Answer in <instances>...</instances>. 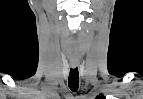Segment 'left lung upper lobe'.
I'll list each match as a JSON object with an SVG mask.
<instances>
[{
	"label": "left lung upper lobe",
	"mask_w": 143,
	"mask_h": 99,
	"mask_svg": "<svg viewBox=\"0 0 143 99\" xmlns=\"http://www.w3.org/2000/svg\"><path fill=\"white\" fill-rule=\"evenodd\" d=\"M96 99H105V97L102 94H100L99 96L96 97Z\"/></svg>",
	"instance_id": "left-lung-upper-lobe-1"
}]
</instances>
